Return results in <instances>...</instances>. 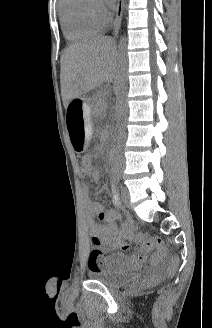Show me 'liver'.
I'll return each instance as SVG.
<instances>
[{"instance_id": "obj_1", "label": "liver", "mask_w": 212, "mask_h": 328, "mask_svg": "<svg viewBox=\"0 0 212 328\" xmlns=\"http://www.w3.org/2000/svg\"><path fill=\"white\" fill-rule=\"evenodd\" d=\"M115 45L107 36L69 46L61 57V94L65 104L111 82Z\"/></svg>"}]
</instances>
